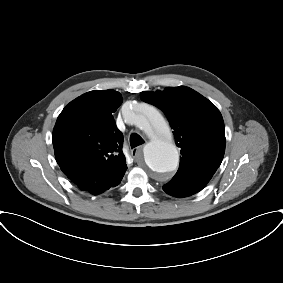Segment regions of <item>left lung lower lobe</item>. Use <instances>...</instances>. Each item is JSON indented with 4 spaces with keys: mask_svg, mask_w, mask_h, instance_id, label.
Wrapping results in <instances>:
<instances>
[{
    "mask_svg": "<svg viewBox=\"0 0 283 283\" xmlns=\"http://www.w3.org/2000/svg\"><path fill=\"white\" fill-rule=\"evenodd\" d=\"M204 187L202 186H198V185H194V184H190L187 183L183 180H178L177 183L175 184H166L165 186H163V190L174 197H187V196H191L197 192H199L200 190H202Z\"/></svg>",
    "mask_w": 283,
    "mask_h": 283,
    "instance_id": "left-lung-lower-lobe-1",
    "label": "left lung lower lobe"
}]
</instances>
